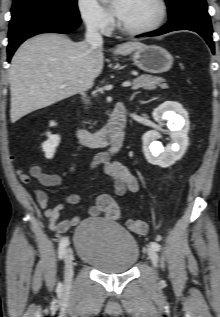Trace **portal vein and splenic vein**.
I'll use <instances>...</instances> for the list:
<instances>
[{
  "label": "portal vein and splenic vein",
  "mask_w": 220,
  "mask_h": 317,
  "mask_svg": "<svg viewBox=\"0 0 220 317\" xmlns=\"http://www.w3.org/2000/svg\"><path fill=\"white\" fill-rule=\"evenodd\" d=\"M131 85H132V83H131L130 81H126V82H124V83L122 84L123 87H129V86H131ZM66 86H67V84L62 85V87H66Z\"/></svg>",
  "instance_id": "18ae733b"
}]
</instances>
